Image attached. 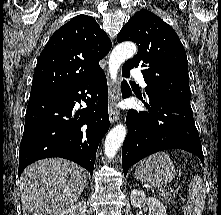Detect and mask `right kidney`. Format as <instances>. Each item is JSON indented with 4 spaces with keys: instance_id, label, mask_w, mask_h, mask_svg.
Wrapping results in <instances>:
<instances>
[{
    "instance_id": "ca27d5eb",
    "label": "right kidney",
    "mask_w": 221,
    "mask_h": 215,
    "mask_svg": "<svg viewBox=\"0 0 221 215\" xmlns=\"http://www.w3.org/2000/svg\"><path fill=\"white\" fill-rule=\"evenodd\" d=\"M86 212V202L79 201L78 203L72 205L65 211L61 212L59 215H85Z\"/></svg>"
}]
</instances>
